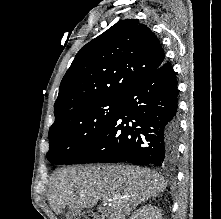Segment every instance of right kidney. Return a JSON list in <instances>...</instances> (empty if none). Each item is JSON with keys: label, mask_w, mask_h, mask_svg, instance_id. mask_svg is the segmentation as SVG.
Returning a JSON list of instances; mask_svg holds the SVG:
<instances>
[{"label": "right kidney", "mask_w": 221, "mask_h": 219, "mask_svg": "<svg viewBox=\"0 0 221 219\" xmlns=\"http://www.w3.org/2000/svg\"><path fill=\"white\" fill-rule=\"evenodd\" d=\"M130 219H162V215L160 209L149 204L139 208Z\"/></svg>", "instance_id": "ca27d5eb"}]
</instances>
